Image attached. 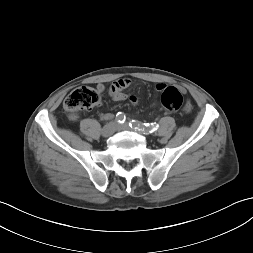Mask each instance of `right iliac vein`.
Wrapping results in <instances>:
<instances>
[{
  "label": "right iliac vein",
  "mask_w": 253,
  "mask_h": 253,
  "mask_svg": "<svg viewBox=\"0 0 253 253\" xmlns=\"http://www.w3.org/2000/svg\"><path fill=\"white\" fill-rule=\"evenodd\" d=\"M118 124L116 122H109L102 129V135L104 137H110L117 130Z\"/></svg>",
  "instance_id": "right-iliac-vein-1"
}]
</instances>
